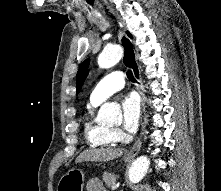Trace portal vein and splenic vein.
Here are the masks:
<instances>
[{
  "instance_id": "18ae733b",
  "label": "portal vein and splenic vein",
  "mask_w": 221,
  "mask_h": 191,
  "mask_svg": "<svg viewBox=\"0 0 221 191\" xmlns=\"http://www.w3.org/2000/svg\"><path fill=\"white\" fill-rule=\"evenodd\" d=\"M119 187V184H114L113 186H112V189H117Z\"/></svg>"
}]
</instances>
